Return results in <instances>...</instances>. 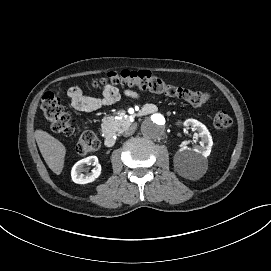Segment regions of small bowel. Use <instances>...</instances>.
Here are the masks:
<instances>
[{"label": "small bowel", "mask_w": 271, "mask_h": 271, "mask_svg": "<svg viewBox=\"0 0 271 271\" xmlns=\"http://www.w3.org/2000/svg\"><path fill=\"white\" fill-rule=\"evenodd\" d=\"M71 100V106L79 112H94L105 106L117 103L122 96L138 98L139 94L135 90L120 89L112 84H105L101 97H92L84 95L80 86H72L68 92ZM149 107L151 105H148Z\"/></svg>", "instance_id": "1"}]
</instances>
